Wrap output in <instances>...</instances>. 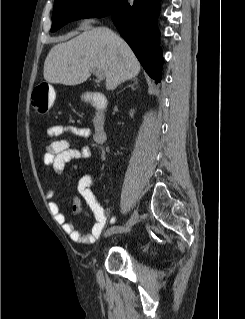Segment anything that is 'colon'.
Here are the masks:
<instances>
[{"instance_id":"colon-1","label":"colon","mask_w":245,"mask_h":319,"mask_svg":"<svg viewBox=\"0 0 245 319\" xmlns=\"http://www.w3.org/2000/svg\"><path fill=\"white\" fill-rule=\"evenodd\" d=\"M55 92L51 85L41 83L37 85L32 93V105L36 114L46 115L54 102Z\"/></svg>"}]
</instances>
